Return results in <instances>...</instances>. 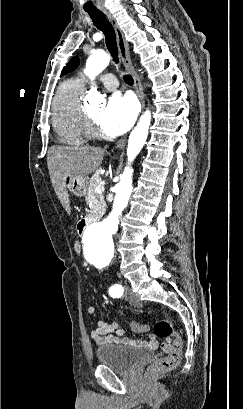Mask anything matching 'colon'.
<instances>
[{
    "instance_id": "1",
    "label": "colon",
    "mask_w": 243,
    "mask_h": 409,
    "mask_svg": "<svg viewBox=\"0 0 243 409\" xmlns=\"http://www.w3.org/2000/svg\"><path fill=\"white\" fill-rule=\"evenodd\" d=\"M73 249L76 253L81 250V245L79 241H75L73 244ZM164 317L158 320L154 325L155 334L164 340L163 345H169V354L165 357L158 359L150 368L152 373H162L169 371L176 367L182 356L183 341L181 336L176 331L172 321L170 320L168 314L163 311ZM131 327L136 332H146L148 326L138 321H133ZM172 337H174L172 339Z\"/></svg>"
}]
</instances>
